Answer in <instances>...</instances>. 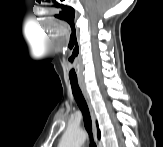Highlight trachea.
<instances>
[{
	"instance_id": "obj_1",
	"label": "trachea",
	"mask_w": 163,
	"mask_h": 147,
	"mask_svg": "<svg viewBox=\"0 0 163 147\" xmlns=\"http://www.w3.org/2000/svg\"><path fill=\"white\" fill-rule=\"evenodd\" d=\"M70 84H71L72 93H73V96L76 100V103H77L78 107L80 108V110L83 114L84 125H85V128H86V130L89 134V137H90V146L96 147V144H95L93 137H92L91 116H90V112H89V108L87 106L86 100L82 94L80 87H79L78 81L77 80H70Z\"/></svg>"
}]
</instances>
